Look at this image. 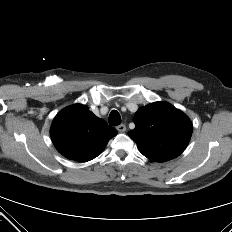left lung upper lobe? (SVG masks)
I'll use <instances>...</instances> for the list:
<instances>
[{
  "label": "left lung upper lobe",
  "mask_w": 232,
  "mask_h": 232,
  "mask_svg": "<svg viewBox=\"0 0 232 232\" xmlns=\"http://www.w3.org/2000/svg\"><path fill=\"white\" fill-rule=\"evenodd\" d=\"M135 129L128 135L148 159L164 162L179 156L192 134L190 119L167 102H155L138 109Z\"/></svg>",
  "instance_id": "5c2ea615"
}]
</instances>
